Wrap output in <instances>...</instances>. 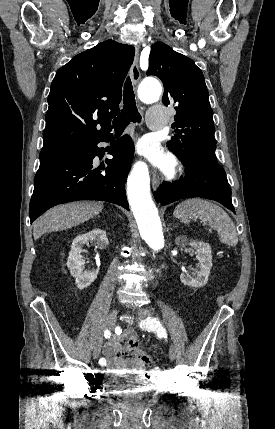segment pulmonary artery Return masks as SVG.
Segmentation results:
<instances>
[{"label": "pulmonary artery", "mask_w": 275, "mask_h": 429, "mask_svg": "<svg viewBox=\"0 0 275 429\" xmlns=\"http://www.w3.org/2000/svg\"><path fill=\"white\" fill-rule=\"evenodd\" d=\"M147 121L151 129H160L166 125L167 113L161 107H152L147 113Z\"/></svg>", "instance_id": "e3ab8cb5"}]
</instances>
